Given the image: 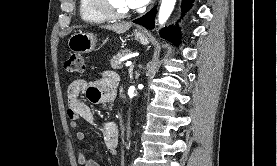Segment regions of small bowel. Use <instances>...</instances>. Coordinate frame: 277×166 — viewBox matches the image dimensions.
I'll use <instances>...</instances> for the list:
<instances>
[{"mask_svg":"<svg viewBox=\"0 0 277 166\" xmlns=\"http://www.w3.org/2000/svg\"><path fill=\"white\" fill-rule=\"evenodd\" d=\"M119 76L110 71H105L94 81L83 79L74 80L68 87V110L67 115L70 127L77 129L80 120L98 126L103 134L107 150L117 154L120 142V133L117 124L113 121L99 120L93 112L91 105H105L112 103L117 95ZM87 135L84 131H77L76 139L85 141ZM78 163L81 166H100L95 160L87 157L80 149L78 152Z\"/></svg>","mask_w":277,"mask_h":166,"instance_id":"1","label":"small bowel"}]
</instances>
